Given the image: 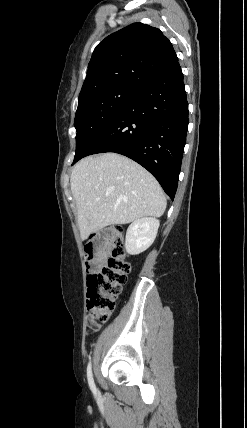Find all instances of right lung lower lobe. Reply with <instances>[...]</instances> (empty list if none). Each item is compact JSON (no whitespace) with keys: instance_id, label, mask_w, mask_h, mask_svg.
<instances>
[{"instance_id":"right-lung-lower-lobe-1","label":"right lung lower lobe","mask_w":247,"mask_h":428,"mask_svg":"<svg viewBox=\"0 0 247 428\" xmlns=\"http://www.w3.org/2000/svg\"><path fill=\"white\" fill-rule=\"evenodd\" d=\"M188 128V102L179 63L143 87L84 153L125 155L146 168L173 200Z\"/></svg>"}]
</instances>
